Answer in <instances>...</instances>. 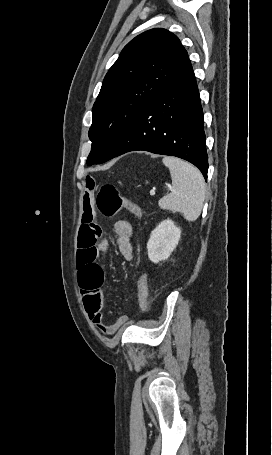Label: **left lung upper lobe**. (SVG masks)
Masks as SVG:
<instances>
[{
    "label": "left lung upper lobe",
    "instance_id": "left-lung-upper-lobe-1",
    "mask_svg": "<svg viewBox=\"0 0 272 455\" xmlns=\"http://www.w3.org/2000/svg\"><path fill=\"white\" fill-rule=\"evenodd\" d=\"M190 64L180 40L165 29L131 40L106 74L93 105L87 164L104 162L144 107Z\"/></svg>",
    "mask_w": 272,
    "mask_h": 455
}]
</instances>
